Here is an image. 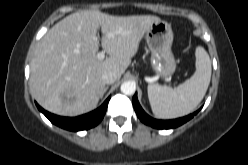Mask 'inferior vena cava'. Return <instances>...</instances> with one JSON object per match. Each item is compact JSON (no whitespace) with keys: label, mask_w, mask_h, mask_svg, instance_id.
Listing matches in <instances>:
<instances>
[{"label":"inferior vena cava","mask_w":248,"mask_h":165,"mask_svg":"<svg viewBox=\"0 0 248 165\" xmlns=\"http://www.w3.org/2000/svg\"><path fill=\"white\" fill-rule=\"evenodd\" d=\"M102 78L105 84H113L118 79V75L116 72L109 71L103 74Z\"/></svg>","instance_id":"1"}]
</instances>
